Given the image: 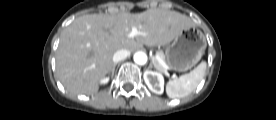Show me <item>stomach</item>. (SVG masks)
Returning <instances> with one entry per match:
<instances>
[{
  "instance_id": "obj_1",
  "label": "stomach",
  "mask_w": 276,
  "mask_h": 120,
  "mask_svg": "<svg viewBox=\"0 0 276 120\" xmlns=\"http://www.w3.org/2000/svg\"><path fill=\"white\" fill-rule=\"evenodd\" d=\"M206 37L196 27L182 30L166 48V64L170 70L186 72L194 67L206 49Z\"/></svg>"
}]
</instances>
